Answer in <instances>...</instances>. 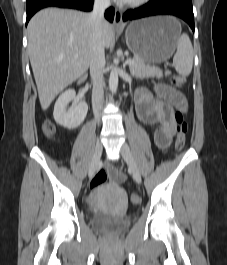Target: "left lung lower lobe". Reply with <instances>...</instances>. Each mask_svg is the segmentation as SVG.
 <instances>
[{"label":"left lung lower lobe","instance_id":"obj_1","mask_svg":"<svg viewBox=\"0 0 227 265\" xmlns=\"http://www.w3.org/2000/svg\"><path fill=\"white\" fill-rule=\"evenodd\" d=\"M174 15L186 21L194 31L192 0H150L144 6L125 12L123 20L153 15Z\"/></svg>","mask_w":227,"mask_h":265}]
</instances>
